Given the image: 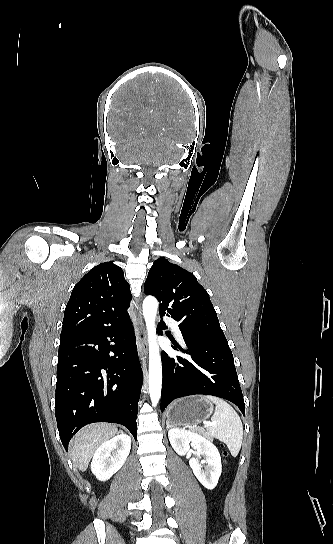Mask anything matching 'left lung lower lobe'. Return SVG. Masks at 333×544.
<instances>
[{
	"instance_id": "0a47b994",
	"label": "left lung lower lobe",
	"mask_w": 333,
	"mask_h": 544,
	"mask_svg": "<svg viewBox=\"0 0 333 544\" xmlns=\"http://www.w3.org/2000/svg\"><path fill=\"white\" fill-rule=\"evenodd\" d=\"M163 316L164 314H160ZM166 328L159 323L158 333ZM182 333V332H181ZM186 349L174 343L173 349L191 356L170 358L162 352L163 383L161 411L176 398L205 394L227 399L245 415V404L239 385L233 355L226 338L206 334L182 333Z\"/></svg>"
}]
</instances>
